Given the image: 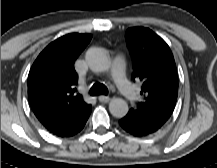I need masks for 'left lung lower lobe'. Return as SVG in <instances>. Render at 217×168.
<instances>
[{
  "label": "left lung lower lobe",
  "instance_id": "obj_1",
  "mask_svg": "<svg viewBox=\"0 0 217 168\" xmlns=\"http://www.w3.org/2000/svg\"><path fill=\"white\" fill-rule=\"evenodd\" d=\"M120 126L128 133L136 137H143L158 131L163 125L142 120L129 113L119 121Z\"/></svg>",
  "mask_w": 217,
  "mask_h": 168
}]
</instances>
